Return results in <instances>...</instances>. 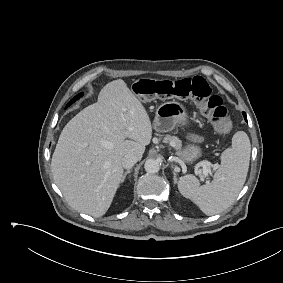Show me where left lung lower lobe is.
Instances as JSON below:
<instances>
[{"label": "left lung lower lobe", "instance_id": "obj_1", "mask_svg": "<svg viewBox=\"0 0 283 283\" xmlns=\"http://www.w3.org/2000/svg\"><path fill=\"white\" fill-rule=\"evenodd\" d=\"M243 116L245 118V121L247 122L246 114L243 112Z\"/></svg>", "mask_w": 283, "mask_h": 283}]
</instances>
